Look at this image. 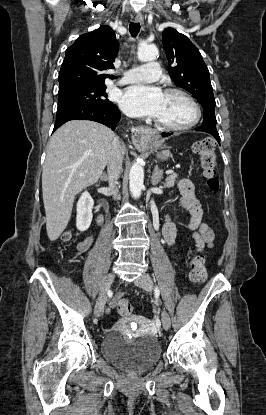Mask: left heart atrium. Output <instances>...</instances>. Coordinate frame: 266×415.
Masks as SVG:
<instances>
[{"label":"left heart atrium","instance_id":"39dd6f15","mask_svg":"<svg viewBox=\"0 0 266 415\" xmlns=\"http://www.w3.org/2000/svg\"><path fill=\"white\" fill-rule=\"evenodd\" d=\"M164 94L157 87L137 85L128 88L120 101L122 110L134 117H157L162 109Z\"/></svg>","mask_w":266,"mask_h":415}]
</instances>
